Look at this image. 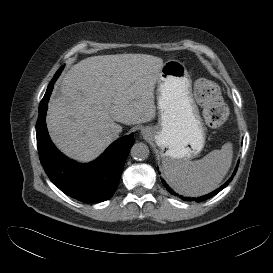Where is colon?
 <instances>
[{"mask_svg":"<svg viewBox=\"0 0 273 273\" xmlns=\"http://www.w3.org/2000/svg\"><path fill=\"white\" fill-rule=\"evenodd\" d=\"M194 93L198 102L203 107V117L209 128L221 127L228 118L226 106L221 102L218 86L205 78L195 81Z\"/></svg>","mask_w":273,"mask_h":273,"instance_id":"1","label":"colon"}]
</instances>
